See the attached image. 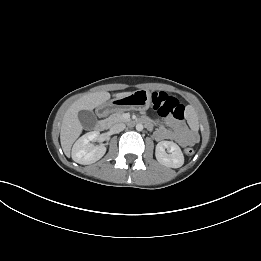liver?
Wrapping results in <instances>:
<instances>
[{"instance_id":"1","label":"liver","mask_w":261,"mask_h":261,"mask_svg":"<svg viewBox=\"0 0 261 261\" xmlns=\"http://www.w3.org/2000/svg\"><path fill=\"white\" fill-rule=\"evenodd\" d=\"M131 92H122L114 94L115 97H123ZM110 99V93L107 91H99L89 93L76 100L64 114L61 130L60 142L66 156H70V151L75 140L80 136L83 126L78 119V112L81 110H93L94 108L104 104Z\"/></svg>"}]
</instances>
